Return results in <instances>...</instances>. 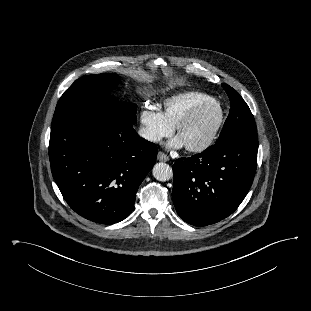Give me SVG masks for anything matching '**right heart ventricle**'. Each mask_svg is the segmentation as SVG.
<instances>
[{
	"label": "right heart ventricle",
	"mask_w": 311,
	"mask_h": 311,
	"mask_svg": "<svg viewBox=\"0 0 311 311\" xmlns=\"http://www.w3.org/2000/svg\"><path fill=\"white\" fill-rule=\"evenodd\" d=\"M210 99V95L197 91L179 93L164 100L160 113L174 127L194 107Z\"/></svg>",
	"instance_id": "1"
}]
</instances>
